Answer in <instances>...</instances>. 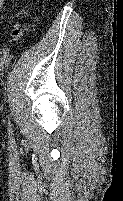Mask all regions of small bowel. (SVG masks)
<instances>
[{
	"label": "small bowel",
	"mask_w": 123,
	"mask_h": 201,
	"mask_svg": "<svg viewBox=\"0 0 123 201\" xmlns=\"http://www.w3.org/2000/svg\"><path fill=\"white\" fill-rule=\"evenodd\" d=\"M4 2L5 0H0V10L2 9ZM22 33H23V27L20 24H14L12 26L11 38L14 42L20 40V38L22 37Z\"/></svg>",
	"instance_id": "c3829d8e"
}]
</instances>
